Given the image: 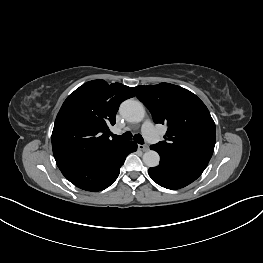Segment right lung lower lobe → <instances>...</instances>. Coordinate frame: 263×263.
<instances>
[{"instance_id": "obj_1", "label": "right lung lower lobe", "mask_w": 263, "mask_h": 263, "mask_svg": "<svg viewBox=\"0 0 263 263\" xmlns=\"http://www.w3.org/2000/svg\"><path fill=\"white\" fill-rule=\"evenodd\" d=\"M137 150L133 141H125L99 157L65 170L62 174L75 186L87 191H101L109 187L119 176L120 167L131 152Z\"/></svg>"}]
</instances>
